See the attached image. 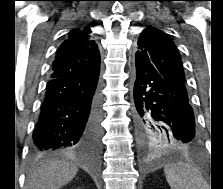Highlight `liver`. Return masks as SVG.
Masks as SVG:
<instances>
[{
    "label": "liver",
    "instance_id": "liver-1",
    "mask_svg": "<svg viewBox=\"0 0 223 189\" xmlns=\"http://www.w3.org/2000/svg\"><path fill=\"white\" fill-rule=\"evenodd\" d=\"M78 168L65 160L50 161L29 171L24 189H60L77 174Z\"/></svg>",
    "mask_w": 223,
    "mask_h": 189
}]
</instances>
